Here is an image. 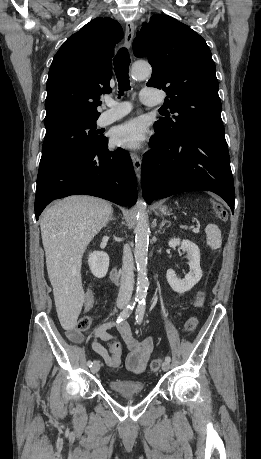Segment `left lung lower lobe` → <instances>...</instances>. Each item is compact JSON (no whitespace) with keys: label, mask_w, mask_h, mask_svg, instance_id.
I'll list each match as a JSON object with an SVG mask.
<instances>
[{"label":"left lung lower lobe","mask_w":261,"mask_h":459,"mask_svg":"<svg viewBox=\"0 0 261 459\" xmlns=\"http://www.w3.org/2000/svg\"><path fill=\"white\" fill-rule=\"evenodd\" d=\"M143 157L142 191L148 204L185 191H212L234 212V183L224 130H204L178 139L155 129Z\"/></svg>","instance_id":"obj_1"}]
</instances>
